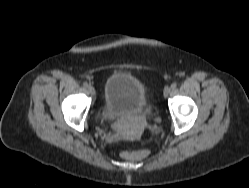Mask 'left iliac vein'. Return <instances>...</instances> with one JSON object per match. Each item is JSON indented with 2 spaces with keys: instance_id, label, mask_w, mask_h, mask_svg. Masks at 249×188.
<instances>
[{
  "instance_id": "1",
  "label": "left iliac vein",
  "mask_w": 249,
  "mask_h": 188,
  "mask_svg": "<svg viewBox=\"0 0 249 188\" xmlns=\"http://www.w3.org/2000/svg\"><path fill=\"white\" fill-rule=\"evenodd\" d=\"M171 92V87H166L164 89V97L166 98Z\"/></svg>"
}]
</instances>
